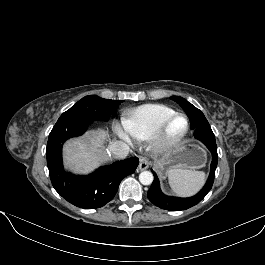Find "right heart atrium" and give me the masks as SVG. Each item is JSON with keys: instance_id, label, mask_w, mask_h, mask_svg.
I'll list each match as a JSON object with an SVG mask.
<instances>
[{"instance_id": "1", "label": "right heart atrium", "mask_w": 265, "mask_h": 265, "mask_svg": "<svg viewBox=\"0 0 265 265\" xmlns=\"http://www.w3.org/2000/svg\"><path fill=\"white\" fill-rule=\"evenodd\" d=\"M113 129L114 132L124 141L128 142V143H132L133 138L131 136V134L128 132V130L126 129V127L124 126L123 122H114L113 124Z\"/></svg>"}]
</instances>
